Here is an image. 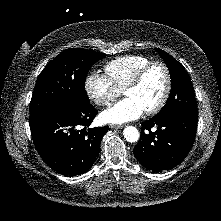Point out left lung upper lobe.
Instances as JSON below:
<instances>
[{
	"mask_svg": "<svg viewBox=\"0 0 221 221\" xmlns=\"http://www.w3.org/2000/svg\"><path fill=\"white\" fill-rule=\"evenodd\" d=\"M160 56L168 66L171 77L170 96L157 115L171 112H182L190 115H198L196 98L193 85L183 65L161 49H157Z\"/></svg>",
	"mask_w": 221,
	"mask_h": 221,
	"instance_id": "left-lung-upper-lobe-1",
	"label": "left lung upper lobe"
}]
</instances>
